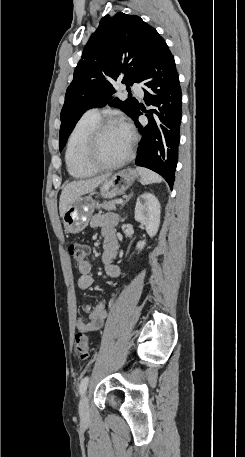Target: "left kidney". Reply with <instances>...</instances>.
<instances>
[{"label": "left kidney", "mask_w": 245, "mask_h": 457, "mask_svg": "<svg viewBox=\"0 0 245 457\" xmlns=\"http://www.w3.org/2000/svg\"><path fill=\"white\" fill-rule=\"evenodd\" d=\"M160 202L152 192L139 194L135 206V220L144 224L149 237H155L160 224ZM146 241H139L136 245L138 251H142Z\"/></svg>", "instance_id": "5707ae66"}]
</instances>
